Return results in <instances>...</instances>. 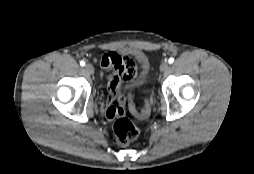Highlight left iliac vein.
Listing matches in <instances>:
<instances>
[{
  "label": "left iliac vein",
  "instance_id": "4c4485c4",
  "mask_svg": "<svg viewBox=\"0 0 254 174\" xmlns=\"http://www.w3.org/2000/svg\"><path fill=\"white\" fill-rule=\"evenodd\" d=\"M169 69V64L167 62H163L161 65H160V70L162 72H165Z\"/></svg>",
  "mask_w": 254,
  "mask_h": 174
}]
</instances>
